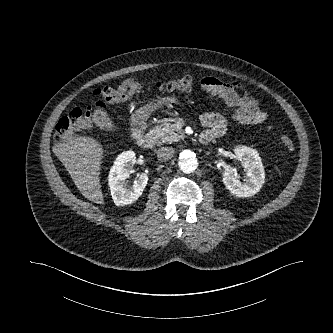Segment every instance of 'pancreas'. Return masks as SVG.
I'll return each instance as SVG.
<instances>
[{"instance_id": "cf45deb5", "label": "pancreas", "mask_w": 333, "mask_h": 333, "mask_svg": "<svg viewBox=\"0 0 333 333\" xmlns=\"http://www.w3.org/2000/svg\"><path fill=\"white\" fill-rule=\"evenodd\" d=\"M152 132L156 139L162 143L171 144L185 137L182 130L170 122H163L161 125L154 127Z\"/></svg>"}]
</instances>
